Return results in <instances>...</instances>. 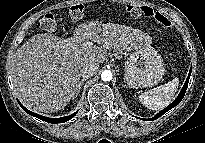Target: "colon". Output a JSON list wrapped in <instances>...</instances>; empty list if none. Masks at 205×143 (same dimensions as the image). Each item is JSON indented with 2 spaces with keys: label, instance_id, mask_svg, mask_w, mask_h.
Instances as JSON below:
<instances>
[{
  "label": "colon",
  "instance_id": "5ec220e1",
  "mask_svg": "<svg viewBox=\"0 0 205 143\" xmlns=\"http://www.w3.org/2000/svg\"><path fill=\"white\" fill-rule=\"evenodd\" d=\"M127 12L134 18L149 17L155 19L160 25L170 27L169 19L159 12H154L151 8L139 5H128ZM72 20H79L84 15V7L81 4L72 5L68 10ZM40 27L45 31H53L56 28V17L52 13L45 14L39 22Z\"/></svg>",
  "mask_w": 205,
  "mask_h": 143
}]
</instances>
